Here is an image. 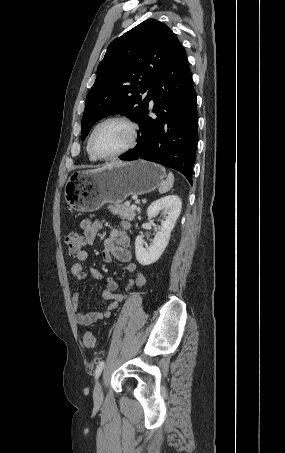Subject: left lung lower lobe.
<instances>
[{
  "instance_id": "0a47b994",
  "label": "left lung lower lobe",
  "mask_w": 285,
  "mask_h": 453,
  "mask_svg": "<svg viewBox=\"0 0 285 453\" xmlns=\"http://www.w3.org/2000/svg\"><path fill=\"white\" fill-rule=\"evenodd\" d=\"M151 99L157 117H150L147 108L138 122L141 129L138 144L119 158L129 161L142 158L168 166L192 183L198 113L192 75L181 44L158 76Z\"/></svg>"
}]
</instances>
